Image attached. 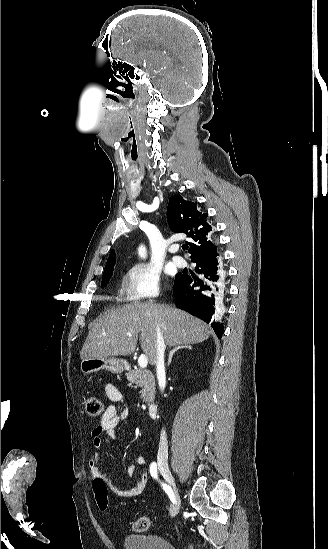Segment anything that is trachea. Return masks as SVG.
<instances>
[{
  "instance_id": "3493384b",
  "label": "trachea",
  "mask_w": 328,
  "mask_h": 549,
  "mask_svg": "<svg viewBox=\"0 0 328 549\" xmlns=\"http://www.w3.org/2000/svg\"><path fill=\"white\" fill-rule=\"evenodd\" d=\"M187 248H188V245H186V244H183V245H182V249H183V250H186Z\"/></svg>"
}]
</instances>
